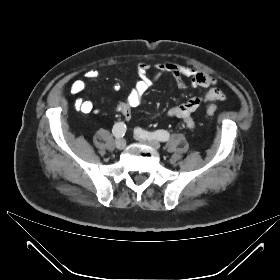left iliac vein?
<instances>
[{"mask_svg":"<svg viewBox=\"0 0 280 280\" xmlns=\"http://www.w3.org/2000/svg\"><path fill=\"white\" fill-rule=\"evenodd\" d=\"M136 138L139 141L153 147L154 149H159L160 148V142L157 139L150 138V137H143L141 135H136Z\"/></svg>","mask_w":280,"mask_h":280,"instance_id":"obj_1","label":"left iliac vein"}]
</instances>
